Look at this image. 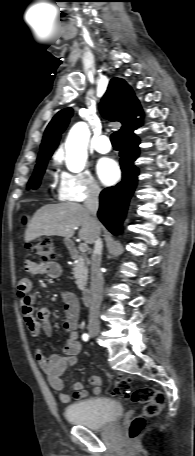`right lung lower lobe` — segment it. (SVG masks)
<instances>
[{
    "instance_id": "98d812e1",
    "label": "right lung lower lobe",
    "mask_w": 195,
    "mask_h": 456,
    "mask_svg": "<svg viewBox=\"0 0 195 456\" xmlns=\"http://www.w3.org/2000/svg\"><path fill=\"white\" fill-rule=\"evenodd\" d=\"M139 143L134 133L123 137L120 150L122 181L116 186L105 188L100 194L98 217L113 234L121 231L129 199L136 187L138 169L134 161L139 155Z\"/></svg>"
}]
</instances>
